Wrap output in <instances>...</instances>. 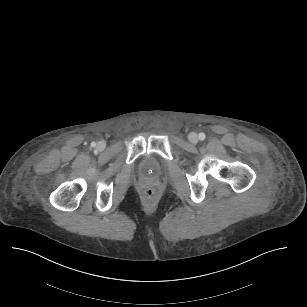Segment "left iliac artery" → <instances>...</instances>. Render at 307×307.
I'll return each mask as SVG.
<instances>
[{
    "label": "left iliac artery",
    "mask_w": 307,
    "mask_h": 307,
    "mask_svg": "<svg viewBox=\"0 0 307 307\" xmlns=\"http://www.w3.org/2000/svg\"><path fill=\"white\" fill-rule=\"evenodd\" d=\"M205 137H206V135H205L204 133H200V134H199V139H200V140H204Z\"/></svg>",
    "instance_id": "obj_1"
}]
</instances>
